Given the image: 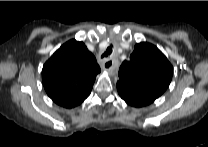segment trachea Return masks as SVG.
Here are the masks:
<instances>
[{
  "label": "trachea",
  "instance_id": "1",
  "mask_svg": "<svg viewBox=\"0 0 208 147\" xmlns=\"http://www.w3.org/2000/svg\"><path fill=\"white\" fill-rule=\"evenodd\" d=\"M111 52H112V48H111V47H108V48L106 49V52H105L101 57H102V58L108 57V55H110Z\"/></svg>",
  "mask_w": 208,
  "mask_h": 147
}]
</instances>
